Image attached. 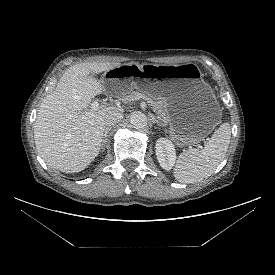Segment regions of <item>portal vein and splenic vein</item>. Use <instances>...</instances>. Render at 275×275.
Masks as SVG:
<instances>
[{"instance_id":"1","label":"portal vein and splenic vein","mask_w":275,"mask_h":275,"mask_svg":"<svg viewBox=\"0 0 275 275\" xmlns=\"http://www.w3.org/2000/svg\"><path fill=\"white\" fill-rule=\"evenodd\" d=\"M100 107H101L100 103L98 101H94L91 103L90 109L91 111H97ZM189 148H192V147H189Z\"/></svg>"}]
</instances>
